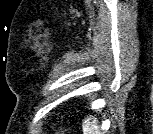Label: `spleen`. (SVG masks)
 Returning a JSON list of instances; mask_svg holds the SVG:
<instances>
[{
  "mask_svg": "<svg viewBox=\"0 0 153 134\" xmlns=\"http://www.w3.org/2000/svg\"><path fill=\"white\" fill-rule=\"evenodd\" d=\"M84 134H98V126L96 120L90 122V119H86L82 125Z\"/></svg>",
  "mask_w": 153,
  "mask_h": 134,
  "instance_id": "3e777b00",
  "label": "spleen"
}]
</instances>
